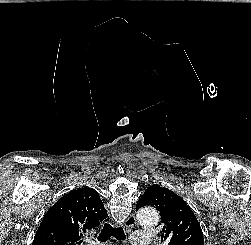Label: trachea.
<instances>
[{"label": "trachea", "mask_w": 251, "mask_h": 245, "mask_svg": "<svg viewBox=\"0 0 251 245\" xmlns=\"http://www.w3.org/2000/svg\"><path fill=\"white\" fill-rule=\"evenodd\" d=\"M111 236H114L118 240L125 239V234L121 227H112L109 223H105L98 236V241L106 242Z\"/></svg>", "instance_id": "3493384b"}]
</instances>
